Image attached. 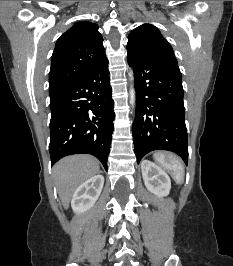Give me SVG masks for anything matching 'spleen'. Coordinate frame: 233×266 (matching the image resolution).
<instances>
[{"label": "spleen", "mask_w": 233, "mask_h": 266, "mask_svg": "<svg viewBox=\"0 0 233 266\" xmlns=\"http://www.w3.org/2000/svg\"><path fill=\"white\" fill-rule=\"evenodd\" d=\"M153 158L163 169L171 174L176 183H183L184 167L176 156L168 153L157 152L153 155Z\"/></svg>", "instance_id": "spleen-1"}]
</instances>
